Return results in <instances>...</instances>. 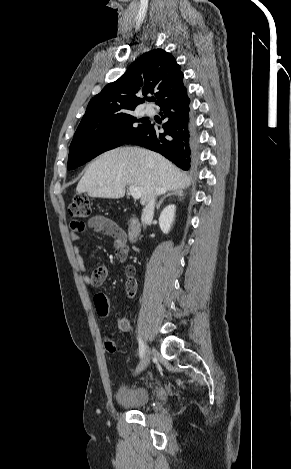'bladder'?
Here are the masks:
<instances>
[{
	"instance_id": "obj_1",
	"label": "bladder",
	"mask_w": 291,
	"mask_h": 469,
	"mask_svg": "<svg viewBox=\"0 0 291 469\" xmlns=\"http://www.w3.org/2000/svg\"><path fill=\"white\" fill-rule=\"evenodd\" d=\"M116 398L124 408L140 409L147 405L150 394L144 387H125L118 391Z\"/></svg>"
}]
</instances>
